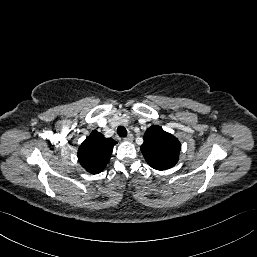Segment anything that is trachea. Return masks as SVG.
Listing matches in <instances>:
<instances>
[{
	"instance_id": "1",
	"label": "trachea",
	"mask_w": 257,
	"mask_h": 257,
	"mask_svg": "<svg viewBox=\"0 0 257 257\" xmlns=\"http://www.w3.org/2000/svg\"><path fill=\"white\" fill-rule=\"evenodd\" d=\"M117 134L120 136V137H126L127 136V130L125 127L123 126H119L117 128Z\"/></svg>"
}]
</instances>
